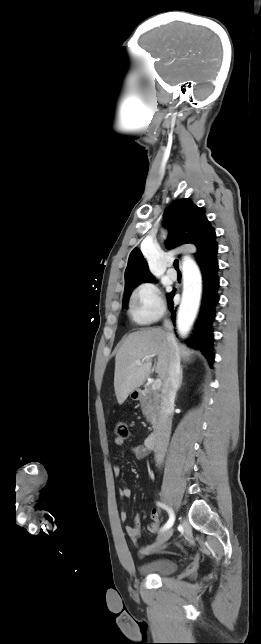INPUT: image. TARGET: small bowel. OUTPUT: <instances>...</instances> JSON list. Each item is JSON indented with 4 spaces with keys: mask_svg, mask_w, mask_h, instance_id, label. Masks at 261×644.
Masks as SVG:
<instances>
[{
    "mask_svg": "<svg viewBox=\"0 0 261 644\" xmlns=\"http://www.w3.org/2000/svg\"><path fill=\"white\" fill-rule=\"evenodd\" d=\"M115 444L117 446H122L124 444V440L120 438H116ZM131 453L135 456V458L142 460L149 455L150 451L144 445L136 444L131 447ZM120 472H121L120 465L115 464L113 466L114 475L118 477L120 475ZM131 494H132L131 489L128 487H124L120 489V496L123 500L129 499L131 497ZM127 518H128L127 512L125 510H122L120 513V519L123 522H125ZM150 519H151V522L148 525V531L152 534L157 533L160 527V514L157 509L154 508L151 510ZM134 521H135L134 525L125 527V532L128 538L130 539V541L135 545H137L138 537L141 531L140 525H139L140 511H138L135 514ZM163 547H164V542H160L156 539V541L150 545L139 546L138 554L140 556H146L161 550Z\"/></svg>",
    "mask_w": 261,
    "mask_h": 644,
    "instance_id": "obj_1",
    "label": "small bowel"
}]
</instances>
